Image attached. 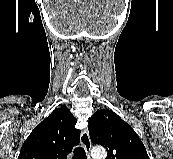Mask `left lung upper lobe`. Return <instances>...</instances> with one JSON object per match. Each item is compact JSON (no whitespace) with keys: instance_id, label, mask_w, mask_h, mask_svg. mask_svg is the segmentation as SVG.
<instances>
[{"instance_id":"1","label":"left lung upper lobe","mask_w":173,"mask_h":159,"mask_svg":"<svg viewBox=\"0 0 173 159\" xmlns=\"http://www.w3.org/2000/svg\"><path fill=\"white\" fill-rule=\"evenodd\" d=\"M88 129L91 141L106 148V159H149L136 132L111 110H97Z\"/></svg>"}]
</instances>
